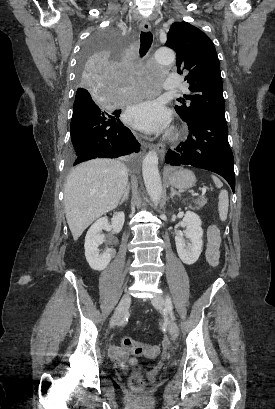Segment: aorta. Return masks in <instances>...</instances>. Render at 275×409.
Returning a JSON list of instances; mask_svg holds the SVG:
<instances>
[{"label": "aorta", "mask_w": 275, "mask_h": 409, "mask_svg": "<svg viewBox=\"0 0 275 409\" xmlns=\"http://www.w3.org/2000/svg\"><path fill=\"white\" fill-rule=\"evenodd\" d=\"M151 60H160L163 64L173 62L175 54L171 48H159L150 52ZM143 178L148 194L154 202H159L162 194L161 176L158 170V154L156 150H149L143 158L142 164Z\"/></svg>", "instance_id": "1"}]
</instances>
